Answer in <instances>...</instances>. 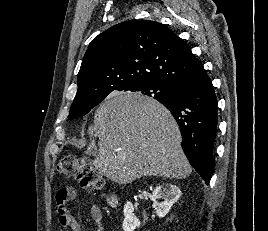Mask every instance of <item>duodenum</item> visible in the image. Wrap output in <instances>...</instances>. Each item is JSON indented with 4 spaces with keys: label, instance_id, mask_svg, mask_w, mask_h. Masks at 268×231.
<instances>
[{
    "label": "duodenum",
    "instance_id": "1",
    "mask_svg": "<svg viewBox=\"0 0 268 231\" xmlns=\"http://www.w3.org/2000/svg\"><path fill=\"white\" fill-rule=\"evenodd\" d=\"M115 202H116V199L115 198H110V203L111 204H115Z\"/></svg>",
    "mask_w": 268,
    "mask_h": 231
}]
</instances>
